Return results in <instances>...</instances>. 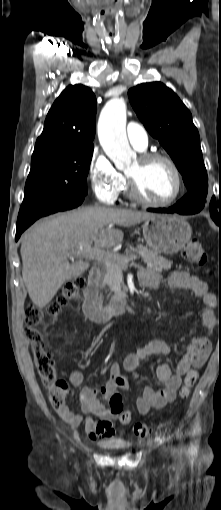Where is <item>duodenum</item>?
Returning <instances> with one entry per match:
<instances>
[{
	"instance_id": "1",
	"label": "duodenum",
	"mask_w": 221,
	"mask_h": 510,
	"mask_svg": "<svg viewBox=\"0 0 221 510\" xmlns=\"http://www.w3.org/2000/svg\"><path fill=\"white\" fill-rule=\"evenodd\" d=\"M100 278V268L92 267L84 291L83 311L87 318L95 323H104L115 315L127 312L131 307V301L128 297H120L111 301L108 311L102 310Z\"/></svg>"
}]
</instances>
